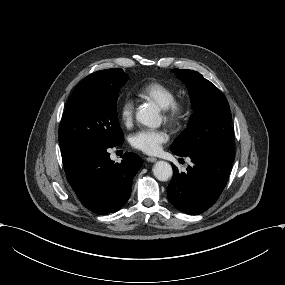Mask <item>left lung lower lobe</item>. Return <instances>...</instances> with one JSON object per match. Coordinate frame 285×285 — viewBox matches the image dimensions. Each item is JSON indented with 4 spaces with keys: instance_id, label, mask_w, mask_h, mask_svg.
<instances>
[{
    "instance_id": "1",
    "label": "left lung lower lobe",
    "mask_w": 285,
    "mask_h": 285,
    "mask_svg": "<svg viewBox=\"0 0 285 285\" xmlns=\"http://www.w3.org/2000/svg\"><path fill=\"white\" fill-rule=\"evenodd\" d=\"M234 147L216 146L190 153L193 163L187 172L173 166L167 187L170 203L178 210L197 215L209 209L221 195L232 165Z\"/></svg>"
}]
</instances>
